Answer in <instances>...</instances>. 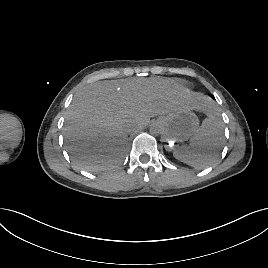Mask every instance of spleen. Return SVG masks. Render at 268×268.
<instances>
[{"label":"spleen","mask_w":268,"mask_h":268,"mask_svg":"<svg viewBox=\"0 0 268 268\" xmlns=\"http://www.w3.org/2000/svg\"><path fill=\"white\" fill-rule=\"evenodd\" d=\"M223 123L218 114L210 111L196 133L191 137L187 149H176L174 157L194 168L204 169L216 159L222 146Z\"/></svg>","instance_id":"3e777b00"}]
</instances>
